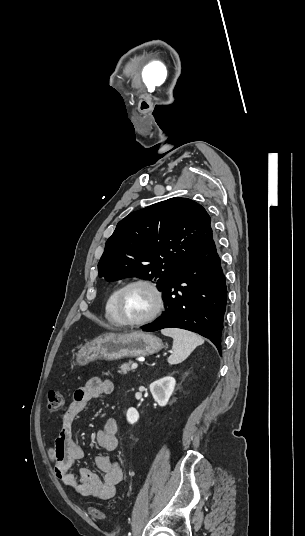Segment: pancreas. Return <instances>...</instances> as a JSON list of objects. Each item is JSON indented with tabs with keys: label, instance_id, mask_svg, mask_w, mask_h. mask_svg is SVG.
Returning a JSON list of instances; mask_svg holds the SVG:
<instances>
[{
	"label": "pancreas",
	"instance_id": "pancreas-1",
	"mask_svg": "<svg viewBox=\"0 0 305 536\" xmlns=\"http://www.w3.org/2000/svg\"><path fill=\"white\" fill-rule=\"evenodd\" d=\"M130 366L131 362H129V364H121V366H119L120 370H118V374H127V372H131Z\"/></svg>",
	"mask_w": 305,
	"mask_h": 536
}]
</instances>
